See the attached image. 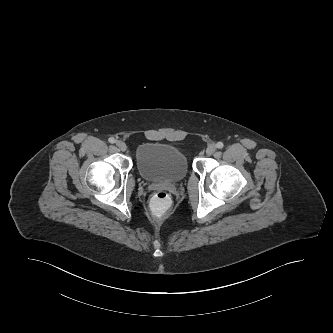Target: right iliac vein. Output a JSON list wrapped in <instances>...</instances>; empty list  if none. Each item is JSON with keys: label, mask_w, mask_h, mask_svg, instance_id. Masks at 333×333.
Returning a JSON list of instances; mask_svg holds the SVG:
<instances>
[{"label": "right iliac vein", "mask_w": 333, "mask_h": 333, "mask_svg": "<svg viewBox=\"0 0 333 333\" xmlns=\"http://www.w3.org/2000/svg\"><path fill=\"white\" fill-rule=\"evenodd\" d=\"M116 146L121 151H126V149H127L126 144L121 140L116 141Z\"/></svg>", "instance_id": "right-iliac-vein-1"}]
</instances>
